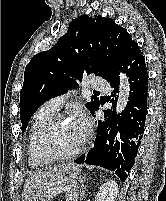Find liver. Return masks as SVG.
<instances>
[{"label":"liver","instance_id":"liver-1","mask_svg":"<svg viewBox=\"0 0 166 201\" xmlns=\"http://www.w3.org/2000/svg\"><path fill=\"white\" fill-rule=\"evenodd\" d=\"M56 170H57V167H54L50 170L39 171V172L32 174L25 181V184L23 187V193H22L23 201H32L35 189L40 184H42L46 178L51 176Z\"/></svg>","mask_w":166,"mask_h":201}]
</instances>
